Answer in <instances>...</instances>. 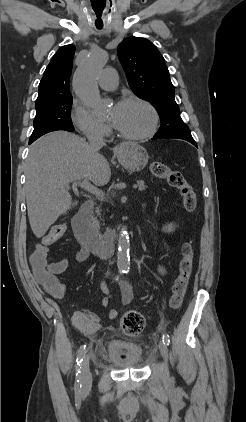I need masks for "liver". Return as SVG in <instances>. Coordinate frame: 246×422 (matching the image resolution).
Masks as SVG:
<instances>
[{"mask_svg": "<svg viewBox=\"0 0 246 422\" xmlns=\"http://www.w3.org/2000/svg\"><path fill=\"white\" fill-rule=\"evenodd\" d=\"M98 151L65 131L49 133L30 146L25 190L28 218L37 238L70 208L71 182L89 179L99 186L109 182V163Z\"/></svg>", "mask_w": 246, "mask_h": 422, "instance_id": "6515ba94", "label": "liver"}]
</instances>
